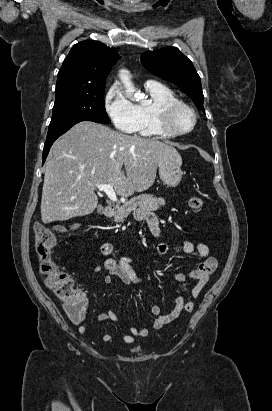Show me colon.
Returning <instances> with one entry per match:
<instances>
[{
    "label": "colon",
    "instance_id": "obj_1",
    "mask_svg": "<svg viewBox=\"0 0 272 411\" xmlns=\"http://www.w3.org/2000/svg\"><path fill=\"white\" fill-rule=\"evenodd\" d=\"M189 206L193 210H200L204 206L203 199L197 196L191 197ZM33 229L35 234V250L46 285L63 302L64 309L69 318L74 322L82 321L86 306L85 295L76 286L71 276L62 271L51 257L52 248L57 243L58 233H63L67 229L64 227L51 229L40 222L35 223Z\"/></svg>",
    "mask_w": 272,
    "mask_h": 411
}]
</instances>
